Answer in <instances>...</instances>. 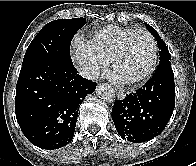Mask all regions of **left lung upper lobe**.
<instances>
[{"label":"left lung upper lobe","mask_w":196,"mask_h":166,"mask_svg":"<svg viewBox=\"0 0 196 166\" xmlns=\"http://www.w3.org/2000/svg\"><path fill=\"white\" fill-rule=\"evenodd\" d=\"M145 25L148 28V30L156 38V41L158 43V47H159V50H160V62L170 61L171 56H170V53H169L168 48H167L166 44L164 43V41L161 39V37L159 36V34L156 32V30L153 27H151L147 23Z\"/></svg>","instance_id":"1"}]
</instances>
